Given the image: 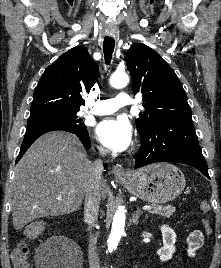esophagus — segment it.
I'll list each match as a JSON object with an SVG mask.
<instances>
[{
	"instance_id": "esophagus-1",
	"label": "esophagus",
	"mask_w": 221,
	"mask_h": 268,
	"mask_svg": "<svg viewBox=\"0 0 221 268\" xmlns=\"http://www.w3.org/2000/svg\"><path fill=\"white\" fill-rule=\"evenodd\" d=\"M112 173L116 179H124L128 176L127 172L121 165H114L112 167Z\"/></svg>"
}]
</instances>
